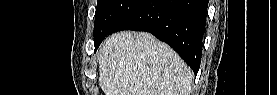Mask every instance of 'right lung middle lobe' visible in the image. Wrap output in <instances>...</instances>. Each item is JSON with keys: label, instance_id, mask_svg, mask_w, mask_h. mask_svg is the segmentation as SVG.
<instances>
[{"label": "right lung middle lobe", "instance_id": "right-lung-middle-lobe-1", "mask_svg": "<svg viewBox=\"0 0 277 95\" xmlns=\"http://www.w3.org/2000/svg\"><path fill=\"white\" fill-rule=\"evenodd\" d=\"M144 0H98L95 23V51L111 30Z\"/></svg>", "mask_w": 277, "mask_h": 95}]
</instances>
